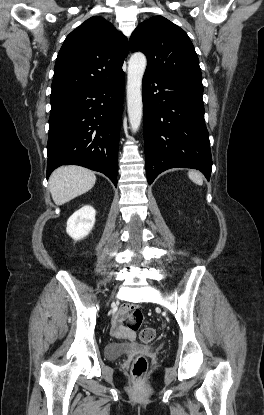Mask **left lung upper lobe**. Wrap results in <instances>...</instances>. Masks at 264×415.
<instances>
[{"label":"left lung upper lobe","instance_id":"1","mask_svg":"<svg viewBox=\"0 0 264 415\" xmlns=\"http://www.w3.org/2000/svg\"><path fill=\"white\" fill-rule=\"evenodd\" d=\"M130 49L147 56L145 73L202 85L199 60L187 33L163 16L140 23L130 37Z\"/></svg>","mask_w":264,"mask_h":415}]
</instances>
